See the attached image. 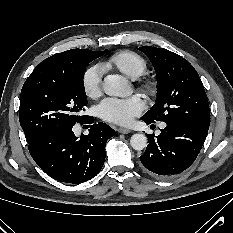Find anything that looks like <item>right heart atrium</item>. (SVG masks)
<instances>
[{
    "mask_svg": "<svg viewBox=\"0 0 233 233\" xmlns=\"http://www.w3.org/2000/svg\"><path fill=\"white\" fill-rule=\"evenodd\" d=\"M104 70L101 66L88 68L82 77V86L86 95L90 98H97L102 93Z\"/></svg>",
    "mask_w": 233,
    "mask_h": 233,
    "instance_id": "d8ad5b80",
    "label": "right heart atrium"
}]
</instances>
